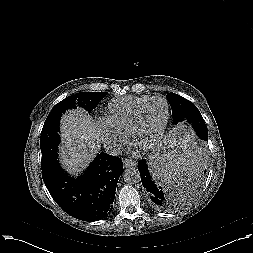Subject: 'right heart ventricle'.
Segmentation results:
<instances>
[{"instance_id": "right-heart-ventricle-1", "label": "right heart ventricle", "mask_w": 253, "mask_h": 253, "mask_svg": "<svg viewBox=\"0 0 253 253\" xmlns=\"http://www.w3.org/2000/svg\"><path fill=\"white\" fill-rule=\"evenodd\" d=\"M149 97L127 95L112 99L107 106L106 121L116 132L126 135L136 109Z\"/></svg>"}]
</instances>
